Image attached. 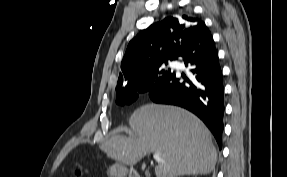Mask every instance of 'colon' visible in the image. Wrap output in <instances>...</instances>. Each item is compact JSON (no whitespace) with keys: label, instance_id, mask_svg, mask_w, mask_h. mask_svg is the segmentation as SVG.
Returning <instances> with one entry per match:
<instances>
[{"label":"colon","instance_id":"5ec220e1","mask_svg":"<svg viewBox=\"0 0 287 177\" xmlns=\"http://www.w3.org/2000/svg\"><path fill=\"white\" fill-rule=\"evenodd\" d=\"M76 175L79 176V177H82L83 176V172L82 171H77Z\"/></svg>","mask_w":287,"mask_h":177}]
</instances>
